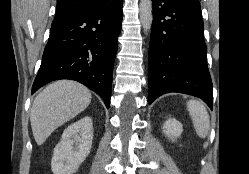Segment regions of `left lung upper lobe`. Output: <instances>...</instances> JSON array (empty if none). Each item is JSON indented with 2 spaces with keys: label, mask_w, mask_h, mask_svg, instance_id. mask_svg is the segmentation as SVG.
<instances>
[{
  "label": "left lung upper lobe",
  "mask_w": 249,
  "mask_h": 174,
  "mask_svg": "<svg viewBox=\"0 0 249 174\" xmlns=\"http://www.w3.org/2000/svg\"><path fill=\"white\" fill-rule=\"evenodd\" d=\"M182 1H184L188 6L201 11L199 0H182Z\"/></svg>",
  "instance_id": "1"
}]
</instances>
